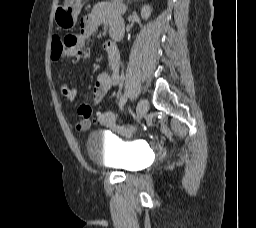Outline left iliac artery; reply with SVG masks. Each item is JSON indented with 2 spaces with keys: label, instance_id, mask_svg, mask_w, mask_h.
I'll use <instances>...</instances> for the list:
<instances>
[{
  "label": "left iliac artery",
  "instance_id": "1",
  "mask_svg": "<svg viewBox=\"0 0 256 228\" xmlns=\"http://www.w3.org/2000/svg\"><path fill=\"white\" fill-rule=\"evenodd\" d=\"M127 97L128 95L127 94H124L121 99H120V102H119V107L120 109H123L125 103H126V100H127Z\"/></svg>",
  "mask_w": 256,
  "mask_h": 228
}]
</instances>
